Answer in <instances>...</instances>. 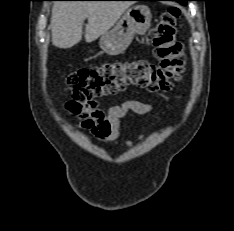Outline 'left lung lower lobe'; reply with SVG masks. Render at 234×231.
<instances>
[{"label":"left lung lower lobe","instance_id":"left-lung-lower-lobe-1","mask_svg":"<svg viewBox=\"0 0 234 231\" xmlns=\"http://www.w3.org/2000/svg\"><path fill=\"white\" fill-rule=\"evenodd\" d=\"M143 1H153V0H143ZM174 1H177V0H174ZM184 5V4H183Z\"/></svg>","mask_w":234,"mask_h":231}]
</instances>
